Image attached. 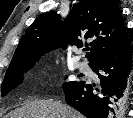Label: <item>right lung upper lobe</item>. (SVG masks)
I'll list each match as a JSON object with an SVG mask.
<instances>
[{
  "label": "right lung upper lobe",
  "instance_id": "right-lung-upper-lobe-1",
  "mask_svg": "<svg viewBox=\"0 0 133 118\" xmlns=\"http://www.w3.org/2000/svg\"><path fill=\"white\" fill-rule=\"evenodd\" d=\"M80 38H94L86 55L90 63L128 39L115 0H81L64 22L55 11L39 15L21 38L9 68L38 61L57 46L66 48L69 43L80 48L83 46Z\"/></svg>",
  "mask_w": 133,
  "mask_h": 118
}]
</instances>
